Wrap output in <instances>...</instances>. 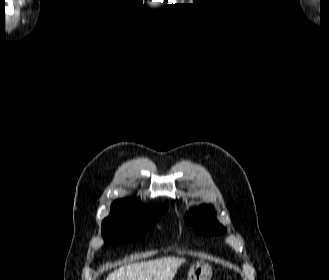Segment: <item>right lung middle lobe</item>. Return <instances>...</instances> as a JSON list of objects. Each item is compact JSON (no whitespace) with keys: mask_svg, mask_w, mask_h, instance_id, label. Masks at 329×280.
<instances>
[{"mask_svg":"<svg viewBox=\"0 0 329 280\" xmlns=\"http://www.w3.org/2000/svg\"><path fill=\"white\" fill-rule=\"evenodd\" d=\"M168 207L145 213L122 206H111L110 215L102 222V234L106 244H120L143 238L152 225L160 219Z\"/></svg>","mask_w":329,"mask_h":280,"instance_id":"right-lung-middle-lobe-1","label":"right lung middle lobe"}]
</instances>
